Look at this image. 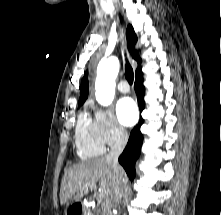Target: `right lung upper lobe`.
<instances>
[{"mask_svg": "<svg viewBox=\"0 0 221 215\" xmlns=\"http://www.w3.org/2000/svg\"><path fill=\"white\" fill-rule=\"evenodd\" d=\"M126 36H127V43H128V48L129 51L132 55V57L138 62L140 65L141 59L139 57L138 52L135 50V44L137 42V36L134 33L133 27L131 25H128L127 31H126ZM87 74L88 72L85 73L84 78L82 79L81 82V93H80V98L79 102H85V100L88 97V89H89V84H88V79H87ZM142 75L141 67H138L136 70V77Z\"/></svg>", "mask_w": 221, "mask_h": 215, "instance_id": "obj_1", "label": "right lung upper lobe"}]
</instances>
